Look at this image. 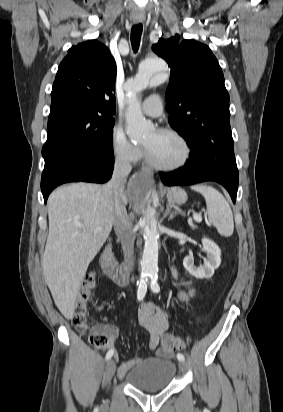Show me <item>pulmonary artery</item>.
Listing matches in <instances>:
<instances>
[{
    "label": "pulmonary artery",
    "mask_w": 283,
    "mask_h": 412,
    "mask_svg": "<svg viewBox=\"0 0 283 412\" xmlns=\"http://www.w3.org/2000/svg\"><path fill=\"white\" fill-rule=\"evenodd\" d=\"M162 111V98L159 95L148 97L142 104V112L149 117H158Z\"/></svg>",
    "instance_id": "obj_1"
}]
</instances>
